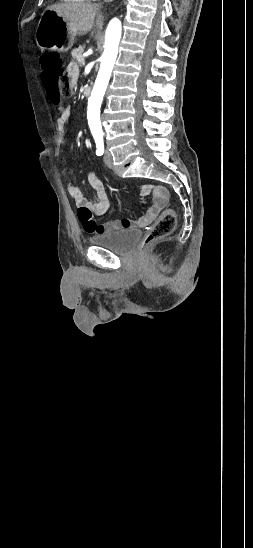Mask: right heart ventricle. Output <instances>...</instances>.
Instances as JSON below:
<instances>
[{
    "mask_svg": "<svg viewBox=\"0 0 253 548\" xmlns=\"http://www.w3.org/2000/svg\"><path fill=\"white\" fill-rule=\"evenodd\" d=\"M61 1H64V2H71V3H82V2H85L87 0H61Z\"/></svg>",
    "mask_w": 253,
    "mask_h": 548,
    "instance_id": "right-heart-ventricle-1",
    "label": "right heart ventricle"
}]
</instances>
